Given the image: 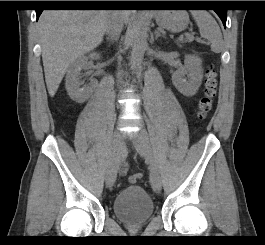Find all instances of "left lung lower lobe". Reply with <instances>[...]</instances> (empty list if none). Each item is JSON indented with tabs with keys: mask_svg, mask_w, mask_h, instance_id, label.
Returning a JSON list of instances; mask_svg holds the SVG:
<instances>
[{
	"mask_svg": "<svg viewBox=\"0 0 265 245\" xmlns=\"http://www.w3.org/2000/svg\"><path fill=\"white\" fill-rule=\"evenodd\" d=\"M199 2L200 1H183L182 4H184V5H199L200 4ZM162 4L169 5V6H179V1H164V2H162ZM214 11L220 17L224 26H226L227 9H216Z\"/></svg>",
	"mask_w": 265,
	"mask_h": 245,
	"instance_id": "0a47b994",
	"label": "left lung lower lobe"
}]
</instances>
